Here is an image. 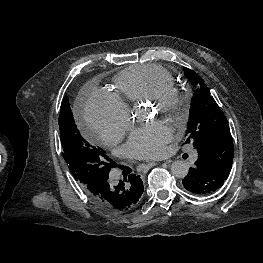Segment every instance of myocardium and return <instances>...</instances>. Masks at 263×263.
<instances>
[{"label": "myocardium", "mask_w": 263, "mask_h": 263, "mask_svg": "<svg viewBox=\"0 0 263 263\" xmlns=\"http://www.w3.org/2000/svg\"><path fill=\"white\" fill-rule=\"evenodd\" d=\"M148 100L158 112L170 117H176L187 108L189 96L175 85H164Z\"/></svg>", "instance_id": "obj_1"}]
</instances>
